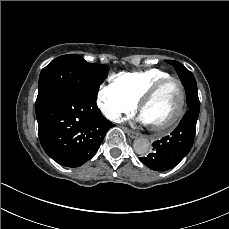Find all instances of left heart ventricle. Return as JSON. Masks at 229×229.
<instances>
[{
  "label": "left heart ventricle",
  "mask_w": 229,
  "mask_h": 229,
  "mask_svg": "<svg viewBox=\"0 0 229 229\" xmlns=\"http://www.w3.org/2000/svg\"><path fill=\"white\" fill-rule=\"evenodd\" d=\"M177 83L178 82L176 81L167 83L146 103V106L141 113V117L150 127L159 128V126L164 124L168 117L172 114V110L176 104L174 100L175 90L173 87ZM183 109L181 110V113Z\"/></svg>",
  "instance_id": "1"
}]
</instances>
